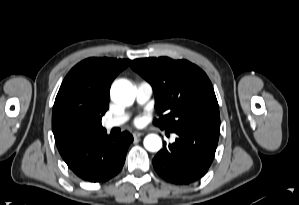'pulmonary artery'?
Wrapping results in <instances>:
<instances>
[{
  "instance_id": "obj_1",
  "label": "pulmonary artery",
  "mask_w": 299,
  "mask_h": 205,
  "mask_svg": "<svg viewBox=\"0 0 299 205\" xmlns=\"http://www.w3.org/2000/svg\"><path fill=\"white\" fill-rule=\"evenodd\" d=\"M153 94V88L148 82H140L136 86V100L139 104L146 103ZM129 118L127 113H121L104 121V128L110 130L123 125Z\"/></svg>"
}]
</instances>
